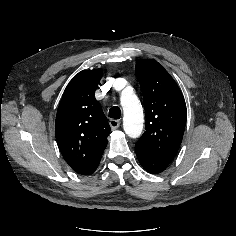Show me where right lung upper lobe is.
<instances>
[{
  "label": "right lung upper lobe",
  "mask_w": 236,
  "mask_h": 236,
  "mask_svg": "<svg viewBox=\"0 0 236 236\" xmlns=\"http://www.w3.org/2000/svg\"><path fill=\"white\" fill-rule=\"evenodd\" d=\"M102 70H84L68 84L59 104L55 136L70 167L79 174H92L107 145L110 126L95 90Z\"/></svg>",
  "instance_id": "cb5924a9"
}]
</instances>
